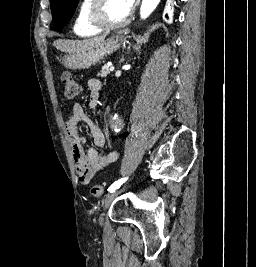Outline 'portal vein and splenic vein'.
<instances>
[{
  "label": "portal vein and splenic vein",
  "mask_w": 256,
  "mask_h": 267,
  "mask_svg": "<svg viewBox=\"0 0 256 267\" xmlns=\"http://www.w3.org/2000/svg\"><path fill=\"white\" fill-rule=\"evenodd\" d=\"M107 68H108V71H112V70H114L112 64H108V65H107Z\"/></svg>",
  "instance_id": "portal-vein-and-splenic-vein-1"
}]
</instances>
